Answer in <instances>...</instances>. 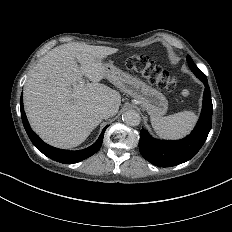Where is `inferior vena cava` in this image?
<instances>
[{
  "label": "inferior vena cava",
  "instance_id": "1",
  "mask_svg": "<svg viewBox=\"0 0 232 232\" xmlns=\"http://www.w3.org/2000/svg\"><path fill=\"white\" fill-rule=\"evenodd\" d=\"M98 114L101 118L107 119L114 114V111L107 106H101L98 108Z\"/></svg>",
  "mask_w": 232,
  "mask_h": 232
}]
</instances>
